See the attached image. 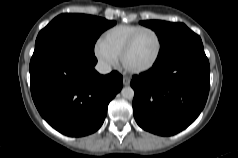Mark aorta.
Wrapping results in <instances>:
<instances>
[{
  "label": "aorta",
  "instance_id": "obj_1",
  "mask_svg": "<svg viewBox=\"0 0 238 158\" xmlns=\"http://www.w3.org/2000/svg\"><path fill=\"white\" fill-rule=\"evenodd\" d=\"M122 97L125 99H133L134 97V90L131 87H124L121 90Z\"/></svg>",
  "mask_w": 238,
  "mask_h": 158
}]
</instances>
